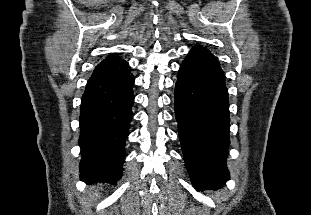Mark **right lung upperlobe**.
<instances>
[{"instance_id": "1", "label": "right lung upper lobe", "mask_w": 311, "mask_h": 215, "mask_svg": "<svg viewBox=\"0 0 311 215\" xmlns=\"http://www.w3.org/2000/svg\"><path fill=\"white\" fill-rule=\"evenodd\" d=\"M118 60H121V58L117 54H114L106 57L103 61H118Z\"/></svg>"}]
</instances>
